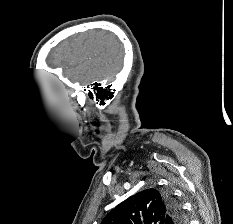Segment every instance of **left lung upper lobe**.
Instances as JSON below:
<instances>
[{
    "label": "left lung upper lobe",
    "instance_id": "5c2ea615",
    "mask_svg": "<svg viewBox=\"0 0 233 224\" xmlns=\"http://www.w3.org/2000/svg\"><path fill=\"white\" fill-rule=\"evenodd\" d=\"M183 224L179 204L166 191L151 188L117 205L101 224Z\"/></svg>",
    "mask_w": 233,
    "mask_h": 224
}]
</instances>
